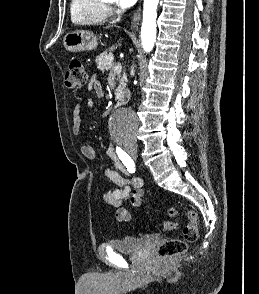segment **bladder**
Listing matches in <instances>:
<instances>
[{
	"mask_svg": "<svg viewBox=\"0 0 259 294\" xmlns=\"http://www.w3.org/2000/svg\"><path fill=\"white\" fill-rule=\"evenodd\" d=\"M160 235L157 233L140 236H124L118 239H111L108 244L118 252L137 253L151 243L159 240Z\"/></svg>",
	"mask_w": 259,
	"mask_h": 294,
	"instance_id": "1",
	"label": "bladder"
}]
</instances>
